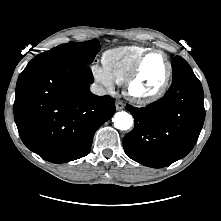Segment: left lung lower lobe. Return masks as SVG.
<instances>
[{
	"label": "left lung lower lobe",
	"instance_id": "1",
	"mask_svg": "<svg viewBox=\"0 0 221 221\" xmlns=\"http://www.w3.org/2000/svg\"><path fill=\"white\" fill-rule=\"evenodd\" d=\"M203 89L194 74L172 83L166 94L147 107L126 109L135 120L123 138L126 155L148 167L162 168L185 157L203 127Z\"/></svg>",
	"mask_w": 221,
	"mask_h": 221
}]
</instances>
